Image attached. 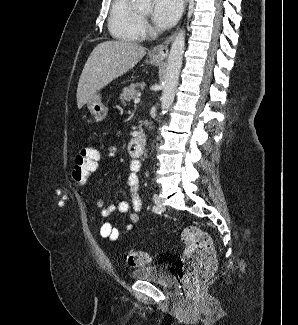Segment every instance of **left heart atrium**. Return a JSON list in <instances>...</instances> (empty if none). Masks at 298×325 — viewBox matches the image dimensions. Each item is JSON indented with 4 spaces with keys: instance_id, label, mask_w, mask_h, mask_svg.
I'll list each match as a JSON object with an SVG mask.
<instances>
[{
    "instance_id": "obj_1",
    "label": "left heart atrium",
    "mask_w": 298,
    "mask_h": 325,
    "mask_svg": "<svg viewBox=\"0 0 298 325\" xmlns=\"http://www.w3.org/2000/svg\"><path fill=\"white\" fill-rule=\"evenodd\" d=\"M181 11V0H154L151 19L157 27L168 29L177 22Z\"/></svg>"
}]
</instances>
